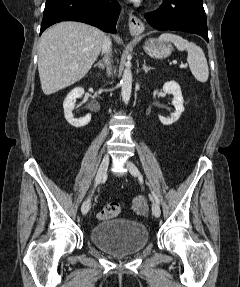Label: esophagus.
Segmentation results:
<instances>
[{
  "label": "esophagus",
  "mask_w": 240,
  "mask_h": 287,
  "mask_svg": "<svg viewBox=\"0 0 240 287\" xmlns=\"http://www.w3.org/2000/svg\"><path fill=\"white\" fill-rule=\"evenodd\" d=\"M129 30L133 36H138L144 31V24L142 20L134 15L132 12L128 13Z\"/></svg>",
  "instance_id": "1"
}]
</instances>
